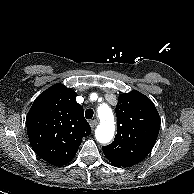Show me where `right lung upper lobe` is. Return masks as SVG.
<instances>
[{
  "label": "right lung upper lobe",
  "mask_w": 194,
  "mask_h": 194,
  "mask_svg": "<svg viewBox=\"0 0 194 194\" xmlns=\"http://www.w3.org/2000/svg\"><path fill=\"white\" fill-rule=\"evenodd\" d=\"M77 94L63 84L41 93L26 117L29 141L34 152L51 165L61 166L75 156L82 138L91 133Z\"/></svg>",
  "instance_id": "1"
}]
</instances>
